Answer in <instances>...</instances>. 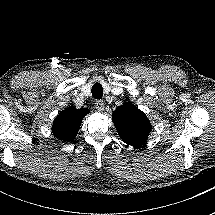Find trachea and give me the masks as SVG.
Returning a JSON list of instances; mask_svg holds the SVG:
<instances>
[{
    "label": "trachea",
    "mask_w": 215,
    "mask_h": 215,
    "mask_svg": "<svg viewBox=\"0 0 215 215\" xmlns=\"http://www.w3.org/2000/svg\"><path fill=\"white\" fill-rule=\"evenodd\" d=\"M91 92H92V96L95 98V99H101L102 96H103V88L101 86L100 83L96 82L92 89H91Z\"/></svg>",
    "instance_id": "3493384b"
}]
</instances>
